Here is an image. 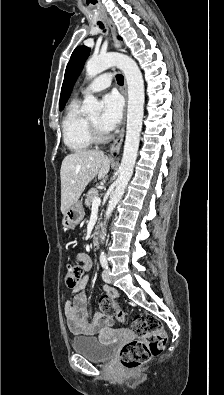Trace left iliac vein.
Returning a JSON list of instances; mask_svg holds the SVG:
<instances>
[{
    "label": "left iliac vein",
    "instance_id": "obj_1",
    "mask_svg": "<svg viewBox=\"0 0 224 395\" xmlns=\"http://www.w3.org/2000/svg\"><path fill=\"white\" fill-rule=\"evenodd\" d=\"M102 278L106 283L111 282V277H110V270L105 268L102 272Z\"/></svg>",
    "mask_w": 224,
    "mask_h": 395
}]
</instances>
